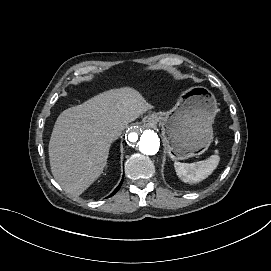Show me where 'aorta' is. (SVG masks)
Masks as SVG:
<instances>
[{"mask_svg":"<svg viewBox=\"0 0 271 271\" xmlns=\"http://www.w3.org/2000/svg\"><path fill=\"white\" fill-rule=\"evenodd\" d=\"M126 141L132 149L139 150L145 155H155L160 148V139L156 132L142 125L129 129Z\"/></svg>","mask_w":271,"mask_h":271,"instance_id":"1","label":"aorta"}]
</instances>
